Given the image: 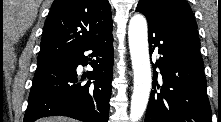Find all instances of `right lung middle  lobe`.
Instances as JSON below:
<instances>
[{
    "instance_id": "obj_1",
    "label": "right lung middle lobe",
    "mask_w": 221,
    "mask_h": 122,
    "mask_svg": "<svg viewBox=\"0 0 221 122\" xmlns=\"http://www.w3.org/2000/svg\"><path fill=\"white\" fill-rule=\"evenodd\" d=\"M58 59H53V60H42V61H38L37 63V69L42 68L44 66H47L51 63L56 62Z\"/></svg>"
}]
</instances>
